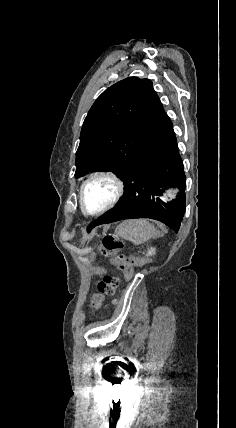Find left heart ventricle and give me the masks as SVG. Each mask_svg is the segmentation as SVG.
<instances>
[{"mask_svg": "<svg viewBox=\"0 0 236 428\" xmlns=\"http://www.w3.org/2000/svg\"><path fill=\"white\" fill-rule=\"evenodd\" d=\"M114 186L107 180H97L89 184L85 190V203L89 210L104 206L113 196Z\"/></svg>", "mask_w": 236, "mask_h": 428, "instance_id": "1", "label": "left heart ventricle"}]
</instances>
